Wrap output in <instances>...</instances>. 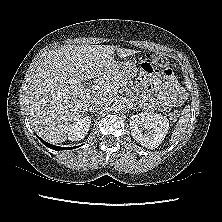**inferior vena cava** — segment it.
I'll list each match as a JSON object with an SVG mask.
<instances>
[{
    "label": "inferior vena cava",
    "mask_w": 222,
    "mask_h": 222,
    "mask_svg": "<svg viewBox=\"0 0 222 222\" xmlns=\"http://www.w3.org/2000/svg\"><path fill=\"white\" fill-rule=\"evenodd\" d=\"M108 105V99L106 96H104L103 94H95L90 102H89V110L91 112H96L98 111L100 108H104Z\"/></svg>",
    "instance_id": "1"
}]
</instances>
